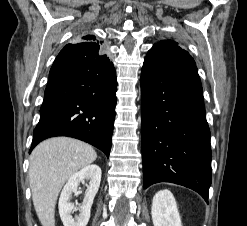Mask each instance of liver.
I'll list each match as a JSON object with an SVG mask.
<instances>
[{
    "mask_svg": "<svg viewBox=\"0 0 247 226\" xmlns=\"http://www.w3.org/2000/svg\"><path fill=\"white\" fill-rule=\"evenodd\" d=\"M96 158L90 145L68 137L47 139L35 147L30 155L29 182L42 226H55V205L63 185Z\"/></svg>",
    "mask_w": 247,
    "mask_h": 226,
    "instance_id": "liver-1",
    "label": "liver"
}]
</instances>
